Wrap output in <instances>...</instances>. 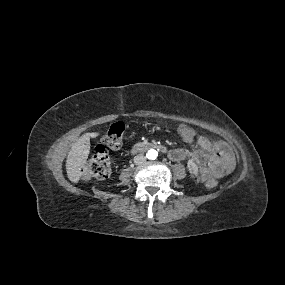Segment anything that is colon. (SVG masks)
<instances>
[{
    "mask_svg": "<svg viewBox=\"0 0 285 285\" xmlns=\"http://www.w3.org/2000/svg\"><path fill=\"white\" fill-rule=\"evenodd\" d=\"M124 130L125 126L121 122H115L109 127L102 142L96 147L93 156L82 168L81 174L84 179L103 180L109 177L111 173L109 149L121 147ZM178 134L187 142L193 141L197 135L194 128L185 124L178 127ZM216 185L217 181L214 179H209L206 182L208 188H214Z\"/></svg>",
    "mask_w": 285,
    "mask_h": 285,
    "instance_id": "obj_1",
    "label": "colon"
}]
</instances>
